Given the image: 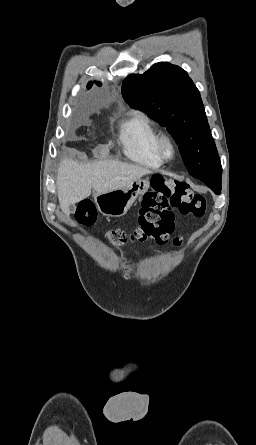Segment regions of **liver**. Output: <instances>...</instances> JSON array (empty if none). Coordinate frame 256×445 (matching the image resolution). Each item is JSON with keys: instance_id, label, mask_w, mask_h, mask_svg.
<instances>
[{"instance_id": "liver-1", "label": "liver", "mask_w": 256, "mask_h": 445, "mask_svg": "<svg viewBox=\"0 0 256 445\" xmlns=\"http://www.w3.org/2000/svg\"><path fill=\"white\" fill-rule=\"evenodd\" d=\"M151 173L147 168L114 160L81 164L65 158L57 173L60 207L69 214L70 205L89 197L91 190L96 195L118 190Z\"/></svg>"}]
</instances>
